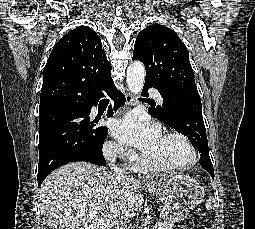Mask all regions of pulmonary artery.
<instances>
[{"label":"pulmonary artery","mask_w":255,"mask_h":229,"mask_svg":"<svg viewBox=\"0 0 255 229\" xmlns=\"http://www.w3.org/2000/svg\"><path fill=\"white\" fill-rule=\"evenodd\" d=\"M151 94L153 95V97L157 100L158 103L162 104L163 103V99L160 96L159 92L157 89H150Z\"/></svg>","instance_id":"pulmonary-artery-1"}]
</instances>
